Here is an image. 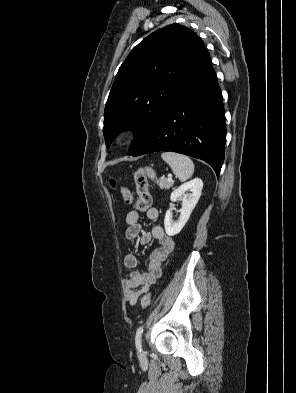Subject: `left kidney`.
<instances>
[{
	"instance_id": "left-kidney-1",
	"label": "left kidney",
	"mask_w": 296,
	"mask_h": 393,
	"mask_svg": "<svg viewBox=\"0 0 296 393\" xmlns=\"http://www.w3.org/2000/svg\"><path fill=\"white\" fill-rule=\"evenodd\" d=\"M203 188V181L200 178H195L189 182L180 185L171 194V201L175 202L179 197L183 198L182 209L180 210V217L178 221L172 220V211L168 210L164 219L165 231L169 236L177 235L187 223L193 209L199 201L201 191ZM191 191L190 194L185 192Z\"/></svg>"
}]
</instances>
